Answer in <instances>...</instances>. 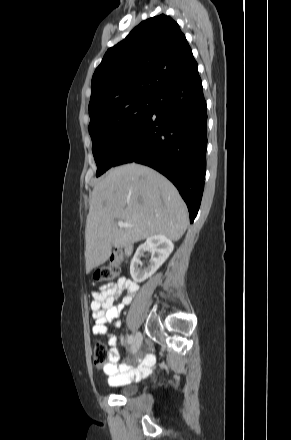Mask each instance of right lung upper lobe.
I'll return each mask as SVG.
<instances>
[{"label":"right lung upper lobe","mask_w":291,"mask_h":440,"mask_svg":"<svg viewBox=\"0 0 291 440\" xmlns=\"http://www.w3.org/2000/svg\"><path fill=\"white\" fill-rule=\"evenodd\" d=\"M197 67L179 25L161 14L141 22L104 55L92 77L89 111L136 96H155Z\"/></svg>","instance_id":"obj_1"}]
</instances>
